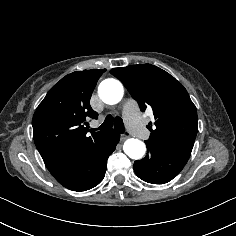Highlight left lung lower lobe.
<instances>
[{
	"label": "left lung lower lobe",
	"instance_id": "obj_1",
	"mask_svg": "<svg viewBox=\"0 0 236 236\" xmlns=\"http://www.w3.org/2000/svg\"><path fill=\"white\" fill-rule=\"evenodd\" d=\"M145 158L135 161L136 175L152 184H164L175 178L187 163L189 156L171 149L166 145L145 142Z\"/></svg>",
	"mask_w": 236,
	"mask_h": 236
}]
</instances>
